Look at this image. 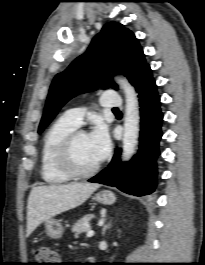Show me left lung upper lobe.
I'll list each match as a JSON object with an SVG mask.
<instances>
[{"label": "left lung upper lobe", "mask_w": 205, "mask_h": 265, "mask_svg": "<svg viewBox=\"0 0 205 265\" xmlns=\"http://www.w3.org/2000/svg\"><path fill=\"white\" fill-rule=\"evenodd\" d=\"M148 67L135 35L118 22L107 23L93 38L87 51L53 79L38 133L74 96L96 90L99 85L108 88L112 80L110 72L125 75L135 86ZM113 88L117 89V85L113 84Z\"/></svg>", "instance_id": "obj_1"}]
</instances>
